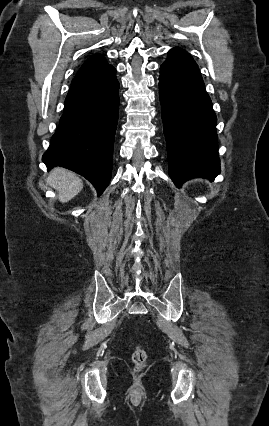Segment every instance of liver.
<instances>
[{
    "label": "liver",
    "instance_id": "liver-1",
    "mask_svg": "<svg viewBox=\"0 0 269 426\" xmlns=\"http://www.w3.org/2000/svg\"><path fill=\"white\" fill-rule=\"evenodd\" d=\"M47 183L57 191L58 199L62 203L74 198L83 188L81 179L75 173L63 168L53 169Z\"/></svg>",
    "mask_w": 269,
    "mask_h": 426
}]
</instances>
